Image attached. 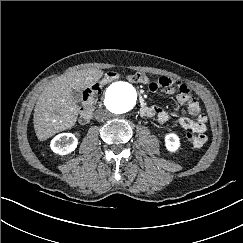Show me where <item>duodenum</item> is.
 Returning a JSON list of instances; mask_svg holds the SVG:
<instances>
[{
	"label": "duodenum",
	"instance_id": "duodenum-1",
	"mask_svg": "<svg viewBox=\"0 0 243 243\" xmlns=\"http://www.w3.org/2000/svg\"><path fill=\"white\" fill-rule=\"evenodd\" d=\"M140 101H141V106H142V108H145V103H144V100L142 99V98H140Z\"/></svg>",
	"mask_w": 243,
	"mask_h": 243
}]
</instances>
